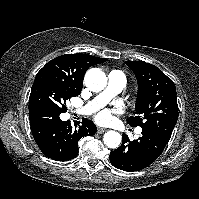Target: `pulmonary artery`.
<instances>
[{"label":"pulmonary artery","mask_w":199,"mask_h":199,"mask_svg":"<svg viewBox=\"0 0 199 199\" xmlns=\"http://www.w3.org/2000/svg\"><path fill=\"white\" fill-rule=\"evenodd\" d=\"M125 83L126 79L124 74L119 70H112L108 75V85L106 89L76 112L85 115L94 112L106 104L114 95L118 94L124 88ZM138 133H141V131H138Z\"/></svg>","instance_id":"pulmonary-artery-1"}]
</instances>
